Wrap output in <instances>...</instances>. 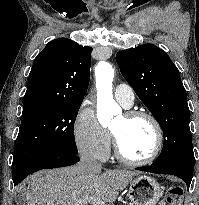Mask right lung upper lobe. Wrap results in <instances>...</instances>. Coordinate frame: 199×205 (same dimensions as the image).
Masks as SVG:
<instances>
[{"mask_svg": "<svg viewBox=\"0 0 199 205\" xmlns=\"http://www.w3.org/2000/svg\"><path fill=\"white\" fill-rule=\"evenodd\" d=\"M92 48L67 39L50 41L33 62L23 111L58 103H82L89 84Z\"/></svg>", "mask_w": 199, "mask_h": 205, "instance_id": "obj_1", "label": "right lung upper lobe"}]
</instances>
